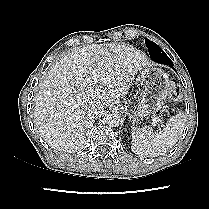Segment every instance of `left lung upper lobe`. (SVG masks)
<instances>
[{"mask_svg": "<svg viewBox=\"0 0 209 209\" xmlns=\"http://www.w3.org/2000/svg\"><path fill=\"white\" fill-rule=\"evenodd\" d=\"M145 44L149 50V55L154 62L169 65L173 68V62L156 43L146 39Z\"/></svg>", "mask_w": 209, "mask_h": 209, "instance_id": "left-lung-upper-lobe-1", "label": "left lung upper lobe"}]
</instances>
